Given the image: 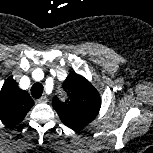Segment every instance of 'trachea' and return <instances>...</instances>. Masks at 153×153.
Instances as JSON below:
<instances>
[{"instance_id":"3493384b","label":"trachea","mask_w":153,"mask_h":153,"mask_svg":"<svg viewBox=\"0 0 153 153\" xmlns=\"http://www.w3.org/2000/svg\"><path fill=\"white\" fill-rule=\"evenodd\" d=\"M43 89H44V87L41 83L33 84V86L31 87L32 96L36 99L40 98L43 93Z\"/></svg>"}]
</instances>
